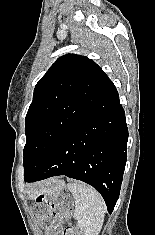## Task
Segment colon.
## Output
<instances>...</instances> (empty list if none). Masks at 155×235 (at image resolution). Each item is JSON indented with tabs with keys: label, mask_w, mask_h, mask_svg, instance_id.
<instances>
[{
	"label": "colon",
	"mask_w": 155,
	"mask_h": 235,
	"mask_svg": "<svg viewBox=\"0 0 155 235\" xmlns=\"http://www.w3.org/2000/svg\"><path fill=\"white\" fill-rule=\"evenodd\" d=\"M71 210V200L63 195L46 192L38 195L36 199L35 216L46 226L49 235H58L59 225L56 220L67 218ZM63 235H83V233L80 229L70 226L64 230Z\"/></svg>",
	"instance_id": "1"
}]
</instances>
